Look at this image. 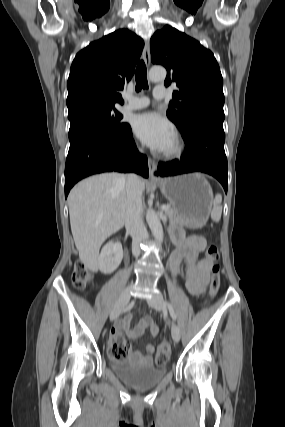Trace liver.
I'll return each instance as SVG.
<instances>
[{
    "label": "liver",
    "instance_id": "obj_1",
    "mask_svg": "<svg viewBox=\"0 0 285 427\" xmlns=\"http://www.w3.org/2000/svg\"><path fill=\"white\" fill-rule=\"evenodd\" d=\"M142 191L144 180H140ZM126 178L105 173L78 183L69 193L68 205L73 239L79 258L94 270L102 243L125 223Z\"/></svg>",
    "mask_w": 285,
    "mask_h": 427
}]
</instances>
